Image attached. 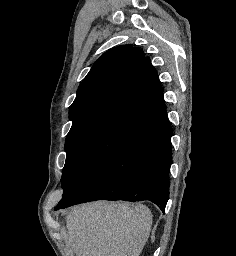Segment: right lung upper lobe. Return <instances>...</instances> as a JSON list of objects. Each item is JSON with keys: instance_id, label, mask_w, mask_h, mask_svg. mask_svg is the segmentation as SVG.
I'll use <instances>...</instances> for the list:
<instances>
[{"instance_id": "obj_1", "label": "right lung upper lobe", "mask_w": 236, "mask_h": 256, "mask_svg": "<svg viewBox=\"0 0 236 256\" xmlns=\"http://www.w3.org/2000/svg\"><path fill=\"white\" fill-rule=\"evenodd\" d=\"M123 113L150 124L166 115L161 84L149 58L130 45L103 54L81 82L70 106L73 125Z\"/></svg>"}]
</instances>
